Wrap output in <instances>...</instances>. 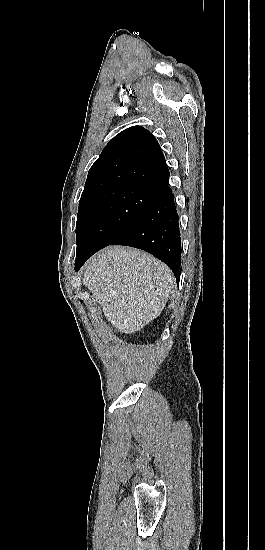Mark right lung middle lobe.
Returning a JSON list of instances; mask_svg holds the SVG:
<instances>
[{
    "label": "right lung middle lobe",
    "mask_w": 265,
    "mask_h": 550,
    "mask_svg": "<svg viewBox=\"0 0 265 550\" xmlns=\"http://www.w3.org/2000/svg\"><path fill=\"white\" fill-rule=\"evenodd\" d=\"M159 189L156 185L123 187L80 201L76 261L124 233L148 208Z\"/></svg>",
    "instance_id": "right-lung-middle-lobe-1"
}]
</instances>
